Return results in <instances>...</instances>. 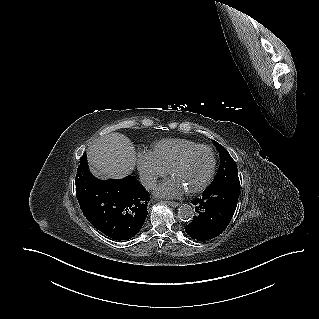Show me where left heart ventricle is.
<instances>
[{"label":"left heart ventricle","instance_id":"b2bd125f","mask_svg":"<svg viewBox=\"0 0 319 319\" xmlns=\"http://www.w3.org/2000/svg\"><path fill=\"white\" fill-rule=\"evenodd\" d=\"M211 163L210 153L207 150H199L173 172L172 178L186 191L194 189L206 179Z\"/></svg>","mask_w":319,"mask_h":319}]
</instances>
